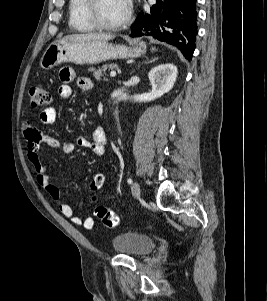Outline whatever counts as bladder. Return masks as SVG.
Instances as JSON below:
<instances>
[{
	"instance_id": "31cf9c89",
	"label": "bladder",
	"mask_w": 267,
	"mask_h": 301,
	"mask_svg": "<svg viewBox=\"0 0 267 301\" xmlns=\"http://www.w3.org/2000/svg\"><path fill=\"white\" fill-rule=\"evenodd\" d=\"M155 247V241L144 234L122 232L112 240L114 251L125 255L143 256L150 253Z\"/></svg>"
}]
</instances>
